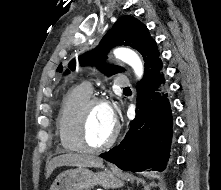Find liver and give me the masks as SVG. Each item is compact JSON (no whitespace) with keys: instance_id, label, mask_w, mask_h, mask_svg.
<instances>
[{"instance_id":"obj_1","label":"liver","mask_w":221,"mask_h":190,"mask_svg":"<svg viewBox=\"0 0 221 190\" xmlns=\"http://www.w3.org/2000/svg\"><path fill=\"white\" fill-rule=\"evenodd\" d=\"M103 159L90 154L66 153L51 159L46 166V178H49L57 167H101Z\"/></svg>"}]
</instances>
